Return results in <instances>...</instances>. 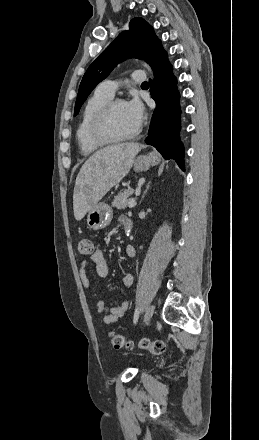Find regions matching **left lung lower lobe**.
Here are the masks:
<instances>
[{"mask_svg": "<svg viewBox=\"0 0 259 440\" xmlns=\"http://www.w3.org/2000/svg\"><path fill=\"white\" fill-rule=\"evenodd\" d=\"M148 63L155 76L154 82L150 80L149 83L156 109L145 142L154 146L165 159H174L184 171V149L179 141L180 95L172 65L162 45L155 50Z\"/></svg>", "mask_w": 259, "mask_h": 440, "instance_id": "1", "label": "left lung lower lobe"}]
</instances>
